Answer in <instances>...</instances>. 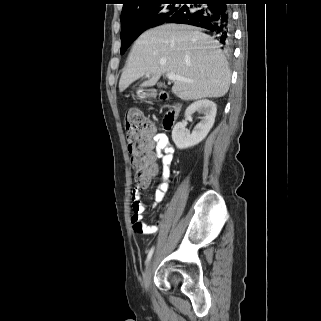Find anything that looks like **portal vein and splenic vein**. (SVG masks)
I'll list each match as a JSON object with an SVG mask.
<instances>
[{
	"instance_id": "portal-vein-and-splenic-vein-1",
	"label": "portal vein and splenic vein",
	"mask_w": 321,
	"mask_h": 321,
	"mask_svg": "<svg viewBox=\"0 0 321 321\" xmlns=\"http://www.w3.org/2000/svg\"><path fill=\"white\" fill-rule=\"evenodd\" d=\"M147 76H149V74H147ZM167 78L171 81H187V79H185L184 77H180L178 75H176L175 73H167L166 74Z\"/></svg>"
}]
</instances>
